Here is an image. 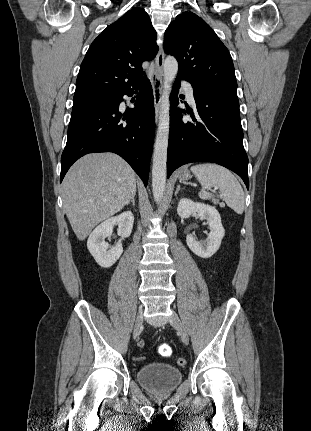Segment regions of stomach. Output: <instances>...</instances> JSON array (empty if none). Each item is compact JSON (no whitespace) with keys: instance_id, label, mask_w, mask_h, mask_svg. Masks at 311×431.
<instances>
[{"instance_id":"obj_1","label":"stomach","mask_w":311,"mask_h":431,"mask_svg":"<svg viewBox=\"0 0 311 431\" xmlns=\"http://www.w3.org/2000/svg\"><path fill=\"white\" fill-rule=\"evenodd\" d=\"M190 178H192L189 170H186V168H184V170H180L179 172V180L180 182H187V180H190Z\"/></svg>"}]
</instances>
